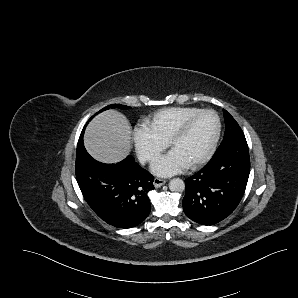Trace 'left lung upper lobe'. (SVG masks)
Returning <instances> with one entry per match:
<instances>
[{"instance_id":"5c2ea615","label":"left lung upper lobe","mask_w":298,"mask_h":298,"mask_svg":"<svg viewBox=\"0 0 298 298\" xmlns=\"http://www.w3.org/2000/svg\"><path fill=\"white\" fill-rule=\"evenodd\" d=\"M224 111V120L226 124L224 138L217 150L222 149L227 144L237 139L245 138L240 126L234 118L226 111Z\"/></svg>"}]
</instances>
